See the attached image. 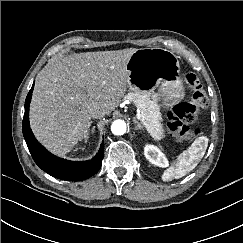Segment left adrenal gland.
<instances>
[{
  "label": "left adrenal gland",
  "mask_w": 243,
  "mask_h": 243,
  "mask_svg": "<svg viewBox=\"0 0 243 243\" xmlns=\"http://www.w3.org/2000/svg\"><path fill=\"white\" fill-rule=\"evenodd\" d=\"M133 122L136 124L135 130H142L143 129V126L135 118L133 119Z\"/></svg>",
  "instance_id": "a2214340"
}]
</instances>
